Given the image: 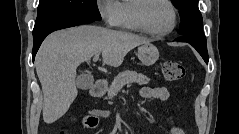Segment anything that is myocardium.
Wrapping results in <instances>:
<instances>
[{
    "label": "myocardium",
    "instance_id": "f54148a6",
    "mask_svg": "<svg viewBox=\"0 0 239 134\" xmlns=\"http://www.w3.org/2000/svg\"><path fill=\"white\" fill-rule=\"evenodd\" d=\"M151 1H154V0H138L136 2L134 9H133V16H134V20H135L137 27L142 32H144L148 35H151V36H155V37H163V36H167V35L171 34L177 26V19H178L177 11H176L173 3L169 0H159V1H162L163 3H165L171 10L172 24L167 30L154 31L149 28V26L147 25L146 20H145V10Z\"/></svg>",
    "mask_w": 239,
    "mask_h": 134
}]
</instances>
